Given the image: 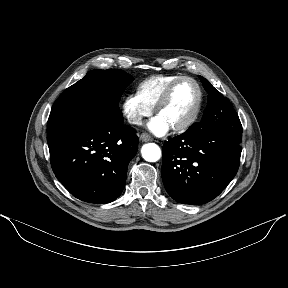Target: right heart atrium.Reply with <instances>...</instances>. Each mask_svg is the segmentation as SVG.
<instances>
[{"mask_svg":"<svg viewBox=\"0 0 288 288\" xmlns=\"http://www.w3.org/2000/svg\"><path fill=\"white\" fill-rule=\"evenodd\" d=\"M122 111L127 121L139 125L152 114V108L145 105L135 94H128L122 102Z\"/></svg>","mask_w":288,"mask_h":288,"instance_id":"right-heart-atrium-1","label":"right heart atrium"}]
</instances>
